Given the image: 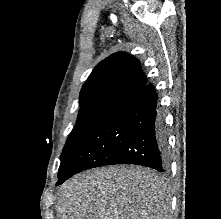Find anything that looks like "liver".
Wrapping results in <instances>:
<instances>
[{
    "mask_svg": "<svg viewBox=\"0 0 221 219\" xmlns=\"http://www.w3.org/2000/svg\"><path fill=\"white\" fill-rule=\"evenodd\" d=\"M164 180L137 166L88 170L59 191L57 219H169Z\"/></svg>",
    "mask_w": 221,
    "mask_h": 219,
    "instance_id": "liver-1",
    "label": "liver"
}]
</instances>
